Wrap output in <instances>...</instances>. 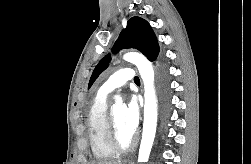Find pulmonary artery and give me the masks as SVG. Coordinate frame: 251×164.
I'll return each mask as SVG.
<instances>
[{
    "label": "pulmonary artery",
    "instance_id": "1",
    "mask_svg": "<svg viewBox=\"0 0 251 164\" xmlns=\"http://www.w3.org/2000/svg\"><path fill=\"white\" fill-rule=\"evenodd\" d=\"M135 72L131 68H123L112 74L107 81L101 86L100 92L108 95L125 85L127 82L134 80Z\"/></svg>",
    "mask_w": 251,
    "mask_h": 164
}]
</instances>
